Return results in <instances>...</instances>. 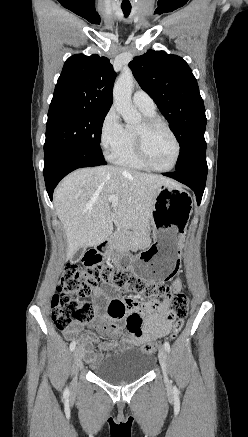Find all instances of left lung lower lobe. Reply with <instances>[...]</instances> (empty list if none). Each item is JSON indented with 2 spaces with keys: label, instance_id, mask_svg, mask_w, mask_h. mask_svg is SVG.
<instances>
[{
  "label": "left lung lower lobe",
  "instance_id": "1",
  "mask_svg": "<svg viewBox=\"0 0 248 437\" xmlns=\"http://www.w3.org/2000/svg\"><path fill=\"white\" fill-rule=\"evenodd\" d=\"M207 171L206 151H202L184 167L176 169L171 173H164L163 175L190 187L195 192L197 203L199 204L205 189Z\"/></svg>",
  "mask_w": 248,
  "mask_h": 437
}]
</instances>
